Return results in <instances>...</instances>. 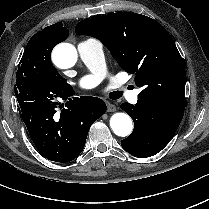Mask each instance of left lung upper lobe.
I'll return each instance as SVG.
<instances>
[{"label": "left lung upper lobe", "instance_id": "5c2ea615", "mask_svg": "<svg viewBox=\"0 0 209 209\" xmlns=\"http://www.w3.org/2000/svg\"><path fill=\"white\" fill-rule=\"evenodd\" d=\"M75 31L98 38L126 72L136 75V86L143 89L139 99L184 111V63L172 37L157 21L121 12L82 20Z\"/></svg>", "mask_w": 209, "mask_h": 209}]
</instances>
